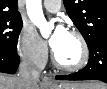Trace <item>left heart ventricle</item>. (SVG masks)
<instances>
[{"label": "left heart ventricle", "instance_id": "obj_1", "mask_svg": "<svg viewBox=\"0 0 107 89\" xmlns=\"http://www.w3.org/2000/svg\"><path fill=\"white\" fill-rule=\"evenodd\" d=\"M57 59L66 65L76 64L81 58V47L78 40L67 33L59 47L54 51Z\"/></svg>", "mask_w": 107, "mask_h": 89}]
</instances>
